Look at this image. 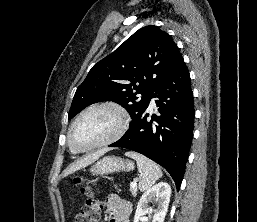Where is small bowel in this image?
<instances>
[{
    "label": "small bowel",
    "instance_id": "obj_1",
    "mask_svg": "<svg viewBox=\"0 0 257 222\" xmlns=\"http://www.w3.org/2000/svg\"><path fill=\"white\" fill-rule=\"evenodd\" d=\"M106 211L109 213V222H129L131 205L117 196L106 198Z\"/></svg>",
    "mask_w": 257,
    "mask_h": 222
}]
</instances>
